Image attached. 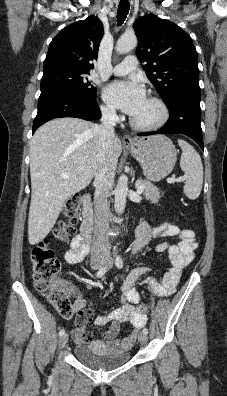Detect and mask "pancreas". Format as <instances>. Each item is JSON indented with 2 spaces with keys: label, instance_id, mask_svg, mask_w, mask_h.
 I'll use <instances>...</instances> for the list:
<instances>
[{
  "label": "pancreas",
  "instance_id": "cf45deb5",
  "mask_svg": "<svg viewBox=\"0 0 227 396\" xmlns=\"http://www.w3.org/2000/svg\"><path fill=\"white\" fill-rule=\"evenodd\" d=\"M138 184L139 186H144V197L146 200L158 202L161 194L156 186L146 180H139Z\"/></svg>",
  "mask_w": 227,
  "mask_h": 396
}]
</instances>
